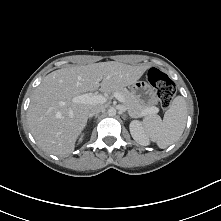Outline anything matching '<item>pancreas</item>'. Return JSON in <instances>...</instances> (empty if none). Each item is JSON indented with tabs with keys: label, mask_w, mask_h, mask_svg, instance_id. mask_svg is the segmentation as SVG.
<instances>
[{
	"label": "pancreas",
	"mask_w": 221,
	"mask_h": 221,
	"mask_svg": "<svg viewBox=\"0 0 221 221\" xmlns=\"http://www.w3.org/2000/svg\"><path fill=\"white\" fill-rule=\"evenodd\" d=\"M115 92L121 94L124 97V105L127 108L129 115L133 118L142 116V113L147 108H150V106L141 104V102L136 98L134 94L123 87H116L107 91L108 94H114Z\"/></svg>",
	"instance_id": "pancreas-1"
}]
</instances>
